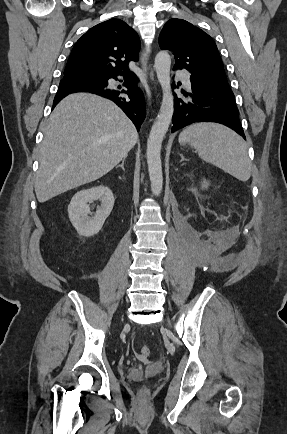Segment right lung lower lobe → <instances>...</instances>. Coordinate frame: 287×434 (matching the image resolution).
<instances>
[{"instance_id":"right-lung-lower-lobe-1","label":"right lung lower lobe","mask_w":287,"mask_h":434,"mask_svg":"<svg viewBox=\"0 0 287 434\" xmlns=\"http://www.w3.org/2000/svg\"><path fill=\"white\" fill-rule=\"evenodd\" d=\"M122 75L126 90H115L108 87V80ZM74 92H90L115 102L125 114L132 120L137 130L145 118L146 108L143 92L137 87V77L128 71L125 73L105 75L101 81L64 82L61 81L54 98L53 107L66 95ZM127 95L128 97H124Z\"/></svg>"}]
</instances>
